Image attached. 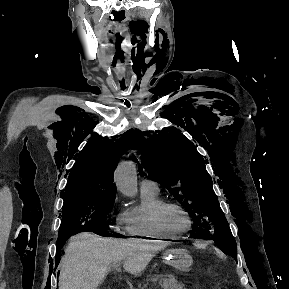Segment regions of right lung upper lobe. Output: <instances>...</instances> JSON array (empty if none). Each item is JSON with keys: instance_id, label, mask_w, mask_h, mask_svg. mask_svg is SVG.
<instances>
[{"instance_id": "cb5924a9", "label": "right lung upper lobe", "mask_w": 289, "mask_h": 289, "mask_svg": "<svg viewBox=\"0 0 289 289\" xmlns=\"http://www.w3.org/2000/svg\"><path fill=\"white\" fill-rule=\"evenodd\" d=\"M127 144L93 137L85 145L68 177L63 198L102 193L116 194L113 172Z\"/></svg>"}]
</instances>
